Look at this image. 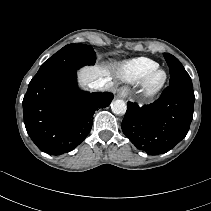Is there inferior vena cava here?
Wrapping results in <instances>:
<instances>
[{"label": "inferior vena cava", "instance_id": "inferior-vena-cava-1", "mask_svg": "<svg viewBox=\"0 0 211 211\" xmlns=\"http://www.w3.org/2000/svg\"><path fill=\"white\" fill-rule=\"evenodd\" d=\"M106 80L104 78H99L89 84V87L92 89L100 90L103 89L106 85Z\"/></svg>", "mask_w": 211, "mask_h": 211}]
</instances>
